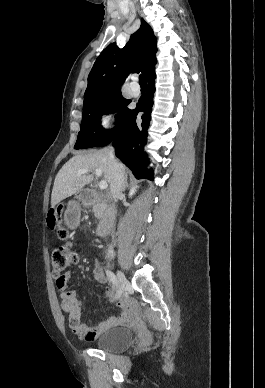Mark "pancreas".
Returning <instances> with one entry per match:
<instances>
[{"label":"pancreas","mask_w":265,"mask_h":388,"mask_svg":"<svg viewBox=\"0 0 265 388\" xmlns=\"http://www.w3.org/2000/svg\"><path fill=\"white\" fill-rule=\"evenodd\" d=\"M106 208V204H99V206H93L94 216L95 218H97V220H100V218H102Z\"/></svg>","instance_id":"pancreas-1"}]
</instances>
